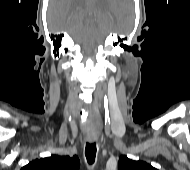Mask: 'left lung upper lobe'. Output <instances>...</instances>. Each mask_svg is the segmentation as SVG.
Masks as SVG:
<instances>
[{"label": "left lung upper lobe", "mask_w": 190, "mask_h": 170, "mask_svg": "<svg viewBox=\"0 0 190 170\" xmlns=\"http://www.w3.org/2000/svg\"><path fill=\"white\" fill-rule=\"evenodd\" d=\"M118 168L119 170H156L144 161L131 160L125 155L120 157Z\"/></svg>", "instance_id": "obj_1"}]
</instances>
